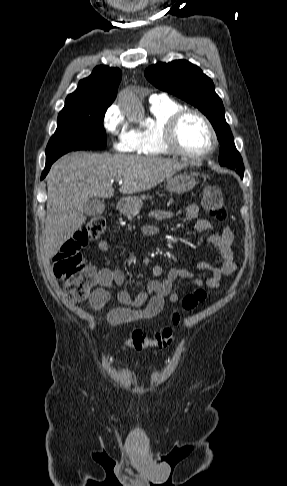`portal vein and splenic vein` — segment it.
Wrapping results in <instances>:
<instances>
[{"label":"portal vein and splenic vein","instance_id":"1","mask_svg":"<svg viewBox=\"0 0 287 486\" xmlns=\"http://www.w3.org/2000/svg\"><path fill=\"white\" fill-rule=\"evenodd\" d=\"M118 183H119V184H122V183H123V181H122V180H118Z\"/></svg>","mask_w":287,"mask_h":486}]
</instances>
